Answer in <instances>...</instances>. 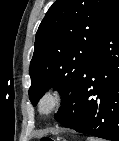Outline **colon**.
<instances>
[{"instance_id":"5ec220e1","label":"colon","mask_w":119,"mask_h":141,"mask_svg":"<svg viewBox=\"0 0 119 141\" xmlns=\"http://www.w3.org/2000/svg\"><path fill=\"white\" fill-rule=\"evenodd\" d=\"M42 141H53V139L49 138V137H45V138L42 139Z\"/></svg>"}]
</instances>
